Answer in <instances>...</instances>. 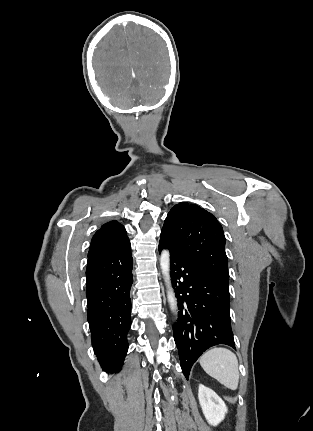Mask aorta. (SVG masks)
Here are the masks:
<instances>
[{"instance_id":"762f6f07","label":"aorta","mask_w":313,"mask_h":431,"mask_svg":"<svg viewBox=\"0 0 313 431\" xmlns=\"http://www.w3.org/2000/svg\"><path fill=\"white\" fill-rule=\"evenodd\" d=\"M160 267L167 286V299L170 305L171 311L177 313V300L175 297L174 290L171 286L170 278V254L168 250H163L160 256Z\"/></svg>"}]
</instances>
